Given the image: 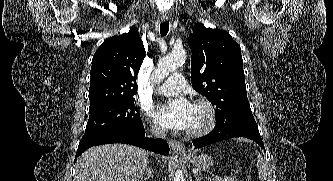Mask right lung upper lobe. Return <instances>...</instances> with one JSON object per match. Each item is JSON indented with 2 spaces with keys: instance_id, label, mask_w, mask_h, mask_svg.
I'll list each match as a JSON object with an SVG mask.
<instances>
[{
  "instance_id": "right-lung-upper-lobe-1",
  "label": "right lung upper lobe",
  "mask_w": 333,
  "mask_h": 181,
  "mask_svg": "<svg viewBox=\"0 0 333 181\" xmlns=\"http://www.w3.org/2000/svg\"><path fill=\"white\" fill-rule=\"evenodd\" d=\"M144 58L143 42L135 29L105 40L92 59L90 108L134 98L135 80Z\"/></svg>"
}]
</instances>
